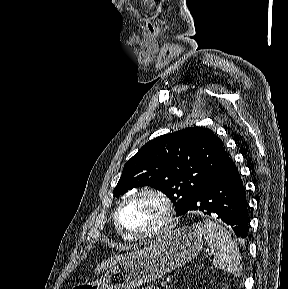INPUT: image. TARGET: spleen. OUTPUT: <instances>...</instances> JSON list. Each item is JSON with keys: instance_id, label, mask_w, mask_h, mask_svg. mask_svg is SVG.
I'll list each match as a JSON object with an SVG mask.
<instances>
[{"instance_id": "3e777b00", "label": "spleen", "mask_w": 288, "mask_h": 289, "mask_svg": "<svg viewBox=\"0 0 288 289\" xmlns=\"http://www.w3.org/2000/svg\"><path fill=\"white\" fill-rule=\"evenodd\" d=\"M193 227L204 236L208 246L215 252L213 265L235 277H240L242 275V257L238 245L232 239L229 231L213 220L194 224Z\"/></svg>"}]
</instances>
